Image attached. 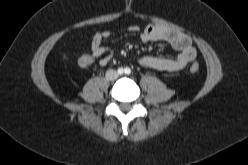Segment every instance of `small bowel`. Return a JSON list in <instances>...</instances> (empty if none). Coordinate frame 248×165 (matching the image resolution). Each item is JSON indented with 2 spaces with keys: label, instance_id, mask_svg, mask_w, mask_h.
<instances>
[{
  "label": "small bowel",
  "instance_id": "1",
  "mask_svg": "<svg viewBox=\"0 0 248 165\" xmlns=\"http://www.w3.org/2000/svg\"><path fill=\"white\" fill-rule=\"evenodd\" d=\"M139 31L140 27L137 25L130 26L127 29L129 33H137ZM112 35V30L99 31L93 35L90 42V55L93 59H99L98 64L102 67L110 63L114 57V51L102 44L104 40ZM140 39L143 42L162 41L178 51V54L172 58L149 55L140 57L138 64L147 69L177 72L185 69L197 57L196 48L188 35L162 25L150 24L146 26L140 33Z\"/></svg>",
  "mask_w": 248,
  "mask_h": 165
}]
</instances>
